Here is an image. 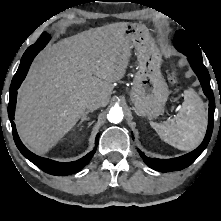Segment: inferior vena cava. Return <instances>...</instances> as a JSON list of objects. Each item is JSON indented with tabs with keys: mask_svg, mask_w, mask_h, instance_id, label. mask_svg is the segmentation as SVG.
<instances>
[{
	"mask_svg": "<svg viewBox=\"0 0 221 221\" xmlns=\"http://www.w3.org/2000/svg\"><path fill=\"white\" fill-rule=\"evenodd\" d=\"M101 106V100L99 98L93 97L86 101V108L89 110H96Z\"/></svg>",
	"mask_w": 221,
	"mask_h": 221,
	"instance_id": "602c4592",
	"label": "inferior vena cava"
}]
</instances>
